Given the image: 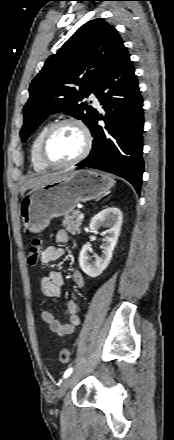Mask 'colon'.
Here are the masks:
<instances>
[{
  "label": "colon",
  "instance_id": "obj_1",
  "mask_svg": "<svg viewBox=\"0 0 174 440\" xmlns=\"http://www.w3.org/2000/svg\"><path fill=\"white\" fill-rule=\"evenodd\" d=\"M42 248H43L42 239L39 237L33 238L28 252V263L30 265H35L39 261L42 253ZM69 359H70L69 349L63 348L59 352V361L65 364L69 361Z\"/></svg>",
  "mask_w": 174,
  "mask_h": 440
}]
</instances>
